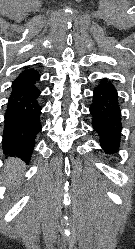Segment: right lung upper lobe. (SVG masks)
I'll return each instance as SVG.
<instances>
[{
	"label": "right lung upper lobe",
	"instance_id": "obj_1",
	"mask_svg": "<svg viewBox=\"0 0 135 249\" xmlns=\"http://www.w3.org/2000/svg\"><path fill=\"white\" fill-rule=\"evenodd\" d=\"M34 73H38V72L33 68L25 67L18 77H22V76H26V75H30Z\"/></svg>",
	"mask_w": 135,
	"mask_h": 249
}]
</instances>
